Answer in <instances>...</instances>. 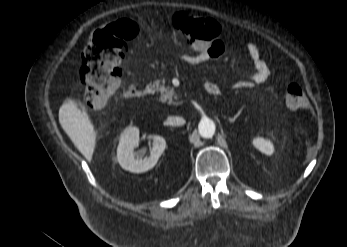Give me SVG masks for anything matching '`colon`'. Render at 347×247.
Masks as SVG:
<instances>
[{
  "label": "colon",
  "instance_id": "5ec220e1",
  "mask_svg": "<svg viewBox=\"0 0 347 247\" xmlns=\"http://www.w3.org/2000/svg\"><path fill=\"white\" fill-rule=\"evenodd\" d=\"M173 26L193 49L205 48L221 34V27L214 19L186 12L174 15ZM138 31L134 21L121 18L98 29L89 40L79 68L85 88L84 103L89 110L106 104L118 88L125 46ZM285 101L294 110H302L308 104L304 89L295 82L287 86Z\"/></svg>",
  "mask_w": 347,
  "mask_h": 247
}]
</instances>
